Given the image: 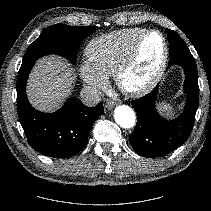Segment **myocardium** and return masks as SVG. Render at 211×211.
Masks as SVG:
<instances>
[{
    "instance_id": "myocardium-1",
    "label": "myocardium",
    "mask_w": 211,
    "mask_h": 211,
    "mask_svg": "<svg viewBox=\"0 0 211 211\" xmlns=\"http://www.w3.org/2000/svg\"><path fill=\"white\" fill-rule=\"evenodd\" d=\"M150 34H158L161 38L162 45H163V53H162L161 61L159 63L157 70L147 82H145L144 84L138 87H129L125 84V78L128 75V73L133 69V67L136 65L141 46L145 38ZM168 61H169V45H168V41L165 35L157 29H146L135 40L127 56L118 66L114 74L115 82L123 93L131 97H142L148 94L149 92H151L161 81L166 71Z\"/></svg>"
}]
</instances>
